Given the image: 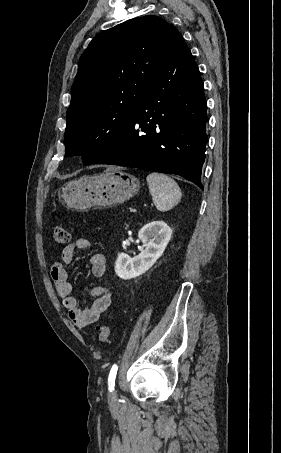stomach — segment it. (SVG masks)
I'll use <instances>...</instances> for the list:
<instances>
[{"label": "stomach", "mask_w": 281, "mask_h": 453, "mask_svg": "<svg viewBox=\"0 0 281 453\" xmlns=\"http://www.w3.org/2000/svg\"><path fill=\"white\" fill-rule=\"evenodd\" d=\"M140 190L139 178L109 166L99 174L80 176L61 188L59 198L72 210L86 212L89 208H108L121 204Z\"/></svg>", "instance_id": "obj_1"}]
</instances>
